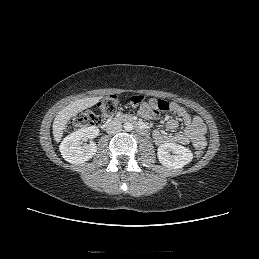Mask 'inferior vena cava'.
Listing matches in <instances>:
<instances>
[{
    "mask_svg": "<svg viewBox=\"0 0 259 259\" xmlns=\"http://www.w3.org/2000/svg\"><path fill=\"white\" fill-rule=\"evenodd\" d=\"M122 130V124L120 121L114 120L111 121L107 126H106V132L108 134H116Z\"/></svg>",
    "mask_w": 259,
    "mask_h": 259,
    "instance_id": "602c4592",
    "label": "inferior vena cava"
}]
</instances>
